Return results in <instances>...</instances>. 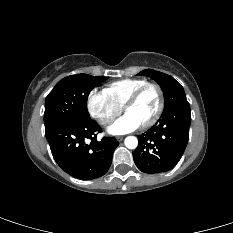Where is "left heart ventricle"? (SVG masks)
Segmentation results:
<instances>
[{"instance_id": "obj_1", "label": "left heart ventricle", "mask_w": 233, "mask_h": 233, "mask_svg": "<svg viewBox=\"0 0 233 233\" xmlns=\"http://www.w3.org/2000/svg\"><path fill=\"white\" fill-rule=\"evenodd\" d=\"M158 104L157 91L154 88H149L134 104L127 108L126 113L133 115L142 125L154 115Z\"/></svg>"}]
</instances>
